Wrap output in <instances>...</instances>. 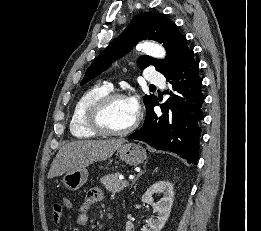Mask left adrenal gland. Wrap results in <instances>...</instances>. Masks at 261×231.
<instances>
[{
  "label": "left adrenal gland",
  "mask_w": 261,
  "mask_h": 231,
  "mask_svg": "<svg viewBox=\"0 0 261 231\" xmlns=\"http://www.w3.org/2000/svg\"><path fill=\"white\" fill-rule=\"evenodd\" d=\"M144 172H146V171L140 172V173L138 174V176L136 177V179L133 181L131 187L133 186V184L135 183V181H136L142 174H144Z\"/></svg>",
  "instance_id": "obj_1"
}]
</instances>
